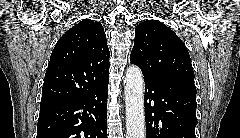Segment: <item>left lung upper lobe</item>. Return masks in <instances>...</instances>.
<instances>
[{
  "label": "left lung upper lobe",
  "mask_w": 240,
  "mask_h": 138,
  "mask_svg": "<svg viewBox=\"0 0 240 138\" xmlns=\"http://www.w3.org/2000/svg\"><path fill=\"white\" fill-rule=\"evenodd\" d=\"M130 61L142 70L144 79L194 81L190 55L182 40L165 24L147 20L135 28Z\"/></svg>",
  "instance_id": "1"
}]
</instances>
